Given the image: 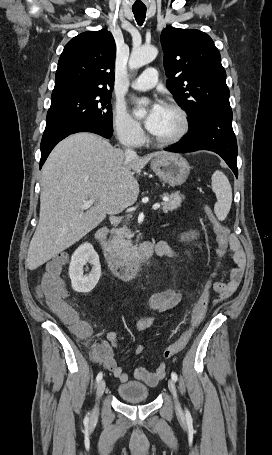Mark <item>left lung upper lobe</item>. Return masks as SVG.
<instances>
[{
    "label": "left lung upper lobe",
    "instance_id": "1",
    "mask_svg": "<svg viewBox=\"0 0 272 455\" xmlns=\"http://www.w3.org/2000/svg\"><path fill=\"white\" fill-rule=\"evenodd\" d=\"M167 88L188 114L189 124L231 111L226 72L213 40L195 29L167 27L161 33Z\"/></svg>",
    "mask_w": 272,
    "mask_h": 455
}]
</instances>
